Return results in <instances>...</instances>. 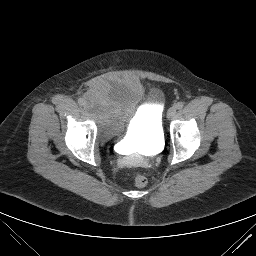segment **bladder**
Listing matches in <instances>:
<instances>
[{"mask_svg": "<svg viewBox=\"0 0 256 256\" xmlns=\"http://www.w3.org/2000/svg\"><path fill=\"white\" fill-rule=\"evenodd\" d=\"M86 99V109L99 138L108 140L124 135L129 145L145 149L162 144L164 94L160 89H147L137 80L106 77L91 88ZM127 121L131 123L124 130Z\"/></svg>", "mask_w": 256, "mask_h": 256, "instance_id": "obj_1", "label": "bladder"}]
</instances>
